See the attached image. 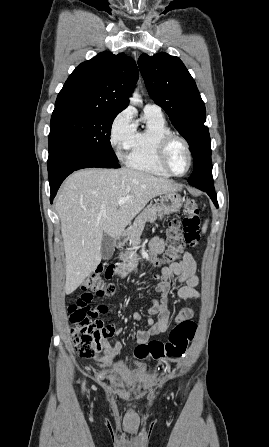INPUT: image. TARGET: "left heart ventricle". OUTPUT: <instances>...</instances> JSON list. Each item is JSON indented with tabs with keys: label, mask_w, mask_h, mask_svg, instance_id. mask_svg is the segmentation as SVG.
I'll list each match as a JSON object with an SVG mask.
<instances>
[{
	"label": "left heart ventricle",
	"mask_w": 269,
	"mask_h": 447,
	"mask_svg": "<svg viewBox=\"0 0 269 447\" xmlns=\"http://www.w3.org/2000/svg\"><path fill=\"white\" fill-rule=\"evenodd\" d=\"M169 162L177 172H183L188 166V155L180 142H174L169 151Z\"/></svg>",
	"instance_id": "obj_1"
}]
</instances>
